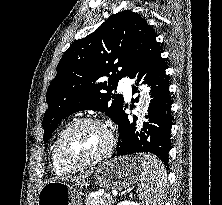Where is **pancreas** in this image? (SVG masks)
Masks as SVG:
<instances>
[{
    "instance_id": "obj_1",
    "label": "pancreas",
    "mask_w": 222,
    "mask_h": 205,
    "mask_svg": "<svg viewBox=\"0 0 222 205\" xmlns=\"http://www.w3.org/2000/svg\"><path fill=\"white\" fill-rule=\"evenodd\" d=\"M114 200L112 196L106 194L103 197H90L88 196L86 199V205H112Z\"/></svg>"
}]
</instances>
